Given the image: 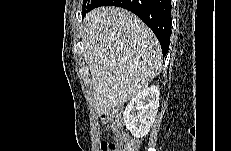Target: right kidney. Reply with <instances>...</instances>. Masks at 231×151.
<instances>
[{"label":"right kidney","instance_id":"obj_1","mask_svg":"<svg viewBox=\"0 0 231 151\" xmlns=\"http://www.w3.org/2000/svg\"><path fill=\"white\" fill-rule=\"evenodd\" d=\"M159 95V88L153 85L127 104L123 119L126 128L134 137L142 138L150 131L159 107Z\"/></svg>","mask_w":231,"mask_h":151}]
</instances>
